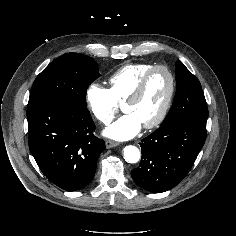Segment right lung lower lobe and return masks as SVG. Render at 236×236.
I'll return each instance as SVG.
<instances>
[{"label":"right lung lower lobe","instance_id":"obj_1","mask_svg":"<svg viewBox=\"0 0 236 236\" xmlns=\"http://www.w3.org/2000/svg\"><path fill=\"white\" fill-rule=\"evenodd\" d=\"M28 143L42 173L66 191L84 188L94 177L105 149L93 135L87 109L42 104L28 107Z\"/></svg>","mask_w":236,"mask_h":236}]
</instances>
